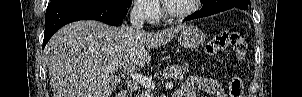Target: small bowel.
Here are the masks:
<instances>
[{"mask_svg":"<svg viewBox=\"0 0 302 97\" xmlns=\"http://www.w3.org/2000/svg\"><path fill=\"white\" fill-rule=\"evenodd\" d=\"M196 88L214 97H228L220 80L206 76L189 77L179 89L177 95L179 97H196Z\"/></svg>","mask_w":302,"mask_h":97,"instance_id":"c3829d8e","label":"small bowel"}]
</instances>
